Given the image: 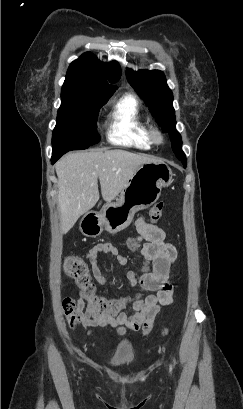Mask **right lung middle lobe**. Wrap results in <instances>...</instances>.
Masks as SVG:
<instances>
[{"label":"right lung middle lobe","instance_id":"1","mask_svg":"<svg viewBox=\"0 0 243 409\" xmlns=\"http://www.w3.org/2000/svg\"><path fill=\"white\" fill-rule=\"evenodd\" d=\"M108 99L61 97L57 124L53 130V153L87 149L98 143V111Z\"/></svg>","mask_w":243,"mask_h":409}]
</instances>
